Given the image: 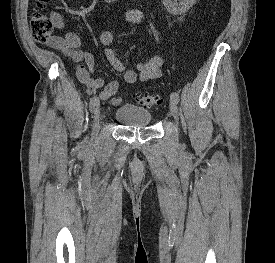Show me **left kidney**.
<instances>
[{
	"label": "left kidney",
	"mask_w": 275,
	"mask_h": 263,
	"mask_svg": "<svg viewBox=\"0 0 275 263\" xmlns=\"http://www.w3.org/2000/svg\"><path fill=\"white\" fill-rule=\"evenodd\" d=\"M195 3L196 0H181L178 3L177 0H163V4L166 9L173 15H181L186 13Z\"/></svg>",
	"instance_id": "obj_1"
}]
</instances>
